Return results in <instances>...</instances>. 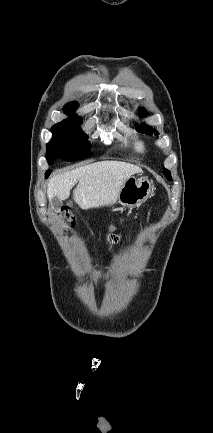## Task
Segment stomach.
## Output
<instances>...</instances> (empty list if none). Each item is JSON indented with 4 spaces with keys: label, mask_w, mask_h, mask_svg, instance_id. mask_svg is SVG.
I'll return each mask as SVG.
<instances>
[{
    "label": "stomach",
    "mask_w": 213,
    "mask_h": 433,
    "mask_svg": "<svg viewBox=\"0 0 213 433\" xmlns=\"http://www.w3.org/2000/svg\"><path fill=\"white\" fill-rule=\"evenodd\" d=\"M152 190L153 186L147 178L130 177L119 190L117 200L122 205L137 206L149 198Z\"/></svg>",
    "instance_id": "stomach-1"
}]
</instances>
